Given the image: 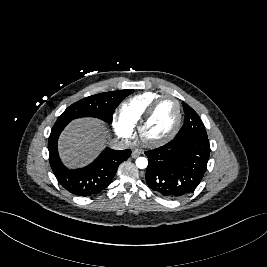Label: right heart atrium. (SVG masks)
<instances>
[{"instance_id": "obj_1", "label": "right heart atrium", "mask_w": 267, "mask_h": 267, "mask_svg": "<svg viewBox=\"0 0 267 267\" xmlns=\"http://www.w3.org/2000/svg\"><path fill=\"white\" fill-rule=\"evenodd\" d=\"M113 125L116 133L123 139H128L132 134V128H130L119 115H115L113 118Z\"/></svg>"}]
</instances>
